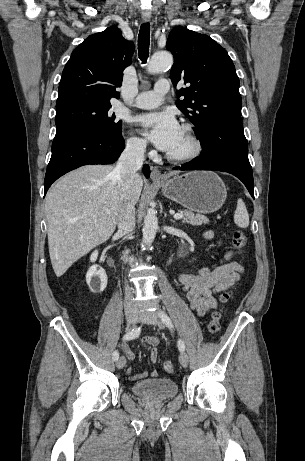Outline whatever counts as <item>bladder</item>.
Wrapping results in <instances>:
<instances>
[{
  "label": "bladder",
  "instance_id": "bladder-1",
  "mask_svg": "<svg viewBox=\"0 0 305 461\" xmlns=\"http://www.w3.org/2000/svg\"><path fill=\"white\" fill-rule=\"evenodd\" d=\"M132 391L146 399L163 401L176 396L179 388L174 379L150 378L134 383Z\"/></svg>",
  "mask_w": 305,
  "mask_h": 461
}]
</instances>
